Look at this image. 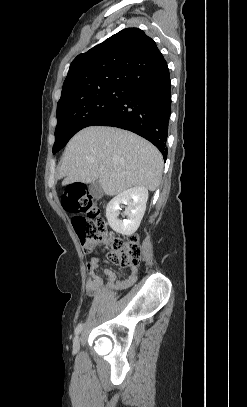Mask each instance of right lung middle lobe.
Returning <instances> with one entry per match:
<instances>
[{
  "mask_svg": "<svg viewBox=\"0 0 247 407\" xmlns=\"http://www.w3.org/2000/svg\"><path fill=\"white\" fill-rule=\"evenodd\" d=\"M128 93L129 87H110L57 107L53 154L61 150L79 130L94 125L109 114Z\"/></svg>",
  "mask_w": 247,
  "mask_h": 407,
  "instance_id": "1",
  "label": "right lung middle lobe"
}]
</instances>
